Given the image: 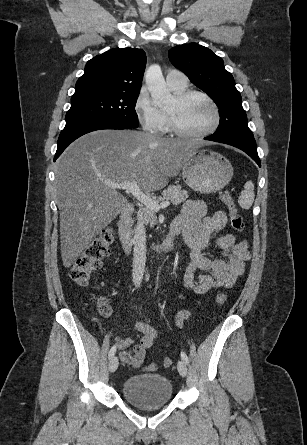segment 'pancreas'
Returning <instances> with one entry per match:
<instances>
[{
    "label": "pancreas",
    "instance_id": "obj_1",
    "mask_svg": "<svg viewBox=\"0 0 307 445\" xmlns=\"http://www.w3.org/2000/svg\"><path fill=\"white\" fill-rule=\"evenodd\" d=\"M163 196H159V198H156L157 202H160V200H165V198H169V200H172L173 204H180V202H184L186 198H188V192L187 190H182L180 184H171V186H168L166 190H163L162 192ZM139 218L140 220H143L144 225H150V227H153V225H156L157 223V216L155 210H152V208H148V206H145V208H141L139 212Z\"/></svg>",
    "mask_w": 307,
    "mask_h": 445
}]
</instances>
